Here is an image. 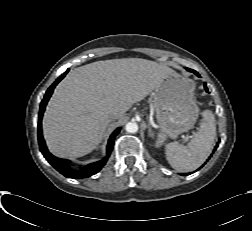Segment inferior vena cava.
Segmentation results:
<instances>
[{"mask_svg":"<svg viewBox=\"0 0 252 231\" xmlns=\"http://www.w3.org/2000/svg\"><path fill=\"white\" fill-rule=\"evenodd\" d=\"M116 118V115L115 114H110L109 115V120L111 121V120H113V119H115Z\"/></svg>","mask_w":252,"mask_h":231,"instance_id":"1","label":"inferior vena cava"}]
</instances>
